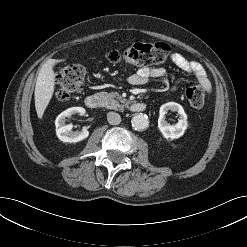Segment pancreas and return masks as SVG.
<instances>
[{
	"instance_id": "pancreas-1",
	"label": "pancreas",
	"mask_w": 247,
	"mask_h": 247,
	"mask_svg": "<svg viewBox=\"0 0 247 247\" xmlns=\"http://www.w3.org/2000/svg\"><path fill=\"white\" fill-rule=\"evenodd\" d=\"M97 95L100 97L102 105L107 109L122 110L130 103L127 99L114 92H99Z\"/></svg>"
}]
</instances>
